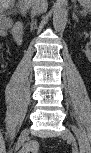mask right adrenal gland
Returning a JSON list of instances; mask_svg holds the SVG:
<instances>
[{
  "label": "right adrenal gland",
  "instance_id": "2a0ac1e0",
  "mask_svg": "<svg viewBox=\"0 0 91 153\" xmlns=\"http://www.w3.org/2000/svg\"><path fill=\"white\" fill-rule=\"evenodd\" d=\"M33 13H34V11L32 10V11H31V14L33 15Z\"/></svg>",
  "mask_w": 91,
  "mask_h": 153
}]
</instances>
